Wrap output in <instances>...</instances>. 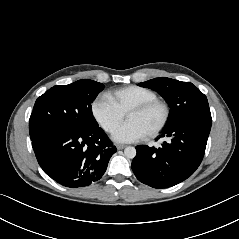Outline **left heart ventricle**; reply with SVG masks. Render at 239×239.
Returning a JSON list of instances; mask_svg holds the SVG:
<instances>
[{
	"mask_svg": "<svg viewBox=\"0 0 239 239\" xmlns=\"http://www.w3.org/2000/svg\"><path fill=\"white\" fill-rule=\"evenodd\" d=\"M161 117V110L154 108L143 113L129 114L127 121L137 124L147 135L159 124Z\"/></svg>",
	"mask_w": 239,
	"mask_h": 239,
	"instance_id": "left-heart-ventricle-1",
	"label": "left heart ventricle"
}]
</instances>
